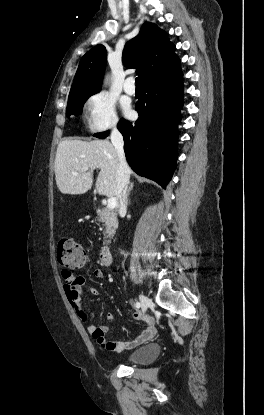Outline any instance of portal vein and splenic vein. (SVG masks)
Segmentation results:
<instances>
[{
	"instance_id": "portal-vein-and-splenic-vein-1",
	"label": "portal vein and splenic vein",
	"mask_w": 264,
	"mask_h": 415,
	"mask_svg": "<svg viewBox=\"0 0 264 415\" xmlns=\"http://www.w3.org/2000/svg\"><path fill=\"white\" fill-rule=\"evenodd\" d=\"M85 171L88 170V168H84ZM117 207V199L116 198H108L107 200V208L114 209Z\"/></svg>"
}]
</instances>
